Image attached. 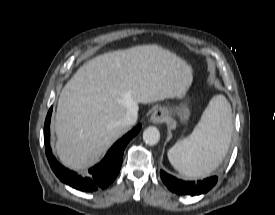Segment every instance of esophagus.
Listing matches in <instances>:
<instances>
[{
  "instance_id": "1",
  "label": "esophagus",
  "mask_w": 275,
  "mask_h": 215,
  "mask_svg": "<svg viewBox=\"0 0 275 215\" xmlns=\"http://www.w3.org/2000/svg\"><path fill=\"white\" fill-rule=\"evenodd\" d=\"M168 112L164 107H157L151 115L150 121L154 124H160L167 120Z\"/></svg>"
}]
</instances>
